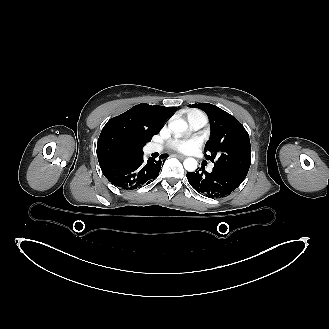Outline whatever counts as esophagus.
Listing matches in <instances>:
<instances>
[{"label": "esophagus", "mask_w": 329, "mask_h": 329, "mask_svg": "<svg viewBox=\"0 0 329 329\" xmlns=\"http://www.w3.org/2000/svg\"><path fill=\"white\" fill-rule=\"evenodd\" d=\"M175 156L178 157V158H180V159H184L185 158L184 155H180V154H176Z\"/></svg>", "instance_id": "34e87169"}]
</instances>
